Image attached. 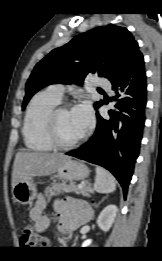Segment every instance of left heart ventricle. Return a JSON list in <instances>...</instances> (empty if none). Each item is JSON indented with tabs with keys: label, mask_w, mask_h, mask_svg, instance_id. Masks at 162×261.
Instances as JSON below:
<instances>
[{
	"label": "left heart ventricle",
	"mask_w": 162,
	"mask_h": 261,
	"mask_svg": "<svg viewBox=\"0 0 162 261\" xmlns=\"http://www.w3.org/2000/svg\"><path fill=\"white\" fill-rule=\"evenodd\" d=\"M57 131L59 138L67 143L76 140L84 133L72 110L60 112L57 118Z\"/></svg>",
	"instance_id": "obj_1"
}]
</instances>
